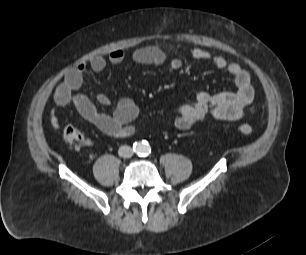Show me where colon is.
<instances>
[{
  "instance_id": "obj_1",
  "label": "colon",
  "mask_w": 306,
  "mask_h": 255,
  "mask_svg": "<svg viewBox=\"0 0 306 255\" xmlns=\"http://www.w3.org/2000/svg\"><path fill=\"white\" fill-rule=\"evenodd\" d=\"M238 130L244 135H250L253 132L252 126L247 123L240 124ZM63 138L68 144L76 149H80L86 144L83 134L77 128L70 125L63 129Z\"/></svg>"
}]
</instances>
